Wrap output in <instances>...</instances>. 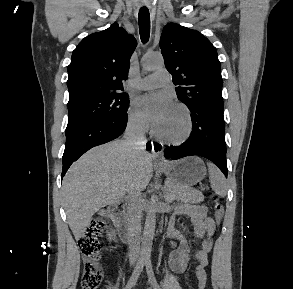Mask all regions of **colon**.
I'll return each instance as SVG.
<instances>
[{
    "label": "colon",
    "instance_id": "1",
    "mask_svg": "<svg viewBox=\"0 0 293 289\" xmlns=\"http://www.w3.org/2000/svg\"><path fill=\"white\" fill-rule=\"evenodd\" d=\"M214 218L219 224L223 218L224 208L218 197H213ZM104 217L94 218L90 221L85 234L78 244L83 256L82 289H97L104 279V271L99 263L102 244L100 236L104 227Z\"/></svg>",
    "mask_w": 293,
    "mask_h": 289
}]
</instances>
